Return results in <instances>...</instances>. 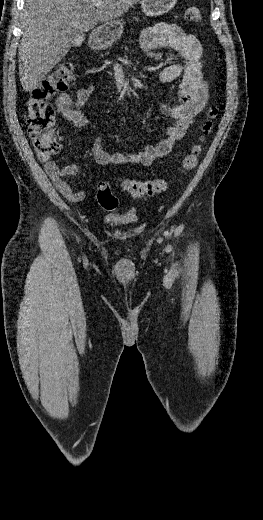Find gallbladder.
I'll list each match as a JSON object with an SVG mask.
<instances>
[{
	"instance_id": "bac80fb5",
	"label": "gallbladder",
	"mask_w": 263,
	"mask_h": 520,
	"mask_svg": "<svg viewBox=\"0 0 263 520\" xmlns=\"http://www.w3.org/2000/svg\"><path fill=\"white\" fill-rule=\"evenodd\" d=\"M68 37L71 40L72 47H78L82 43V34L76 28H71Z\"/></svg>"
}]
</instances>
